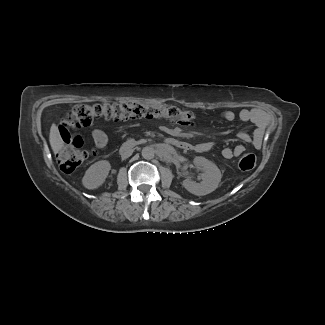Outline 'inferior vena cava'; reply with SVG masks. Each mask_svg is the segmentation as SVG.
Masks as SVG:
<instances>
[{
    "mask_svg": "<svg viewBox=\"0 0 325 325\" xmlns=\"http://www.w3.org/2000/svg\"><path fill=\"white\" fill-rule=\"evenodd\" d=\"M131 154H132V151L124 152V153L122 154V158H123V159L128 158L129 156H131Z\"/></svg>",
    "mask_w": 325,
    "mask_h": 325,
    "instance_id": "obj_1",
    "label": "inferior vena cava"
}]
</instances>
